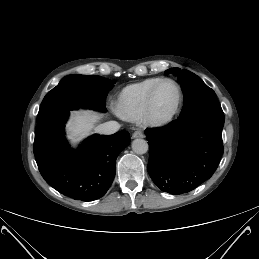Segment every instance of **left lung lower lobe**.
I'll return each instance as SVG.
<instances>
[{
	"mask_svg": "<svg viewBox=\"0 0 259 259\" xmlns=\"http://www.w3.org/2000/svg\"><path fill=\"white\" fill-rule=\"evenodd\" d=\"M223 125L224 113L215 108L146 129L148 173L161 191L188 193L214 174L224 151Z\"/></svg>",
	"mask_w": 259,
	"mask_h": 259,
	"instance_id": "1",
	"label": "left lung lower lobe"
}]
</instances>
